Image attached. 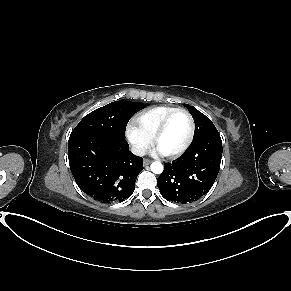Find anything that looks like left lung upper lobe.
I'll list each match as a JSON object with an SVG mask.
<instances>
[{
  "instance_id": "left-lung-upper-lobe-1",
  "label": "left lung upper lobe",
  "mask_w": 291,
  "mask_h": 291,
  "mask_svg": "<svg viewBox=\"0 0 291 291\" xmlns=\"http://www.w3.org/2000/svg\"><path fill=\"white\" fill-rule=\"evenodd\" d=\"M184 106L188 109L195 122L193 142L210 135L219 134L216 127L207 116H205L193 106L188 104H184Z\"/></svg>"
}]
</instances>
